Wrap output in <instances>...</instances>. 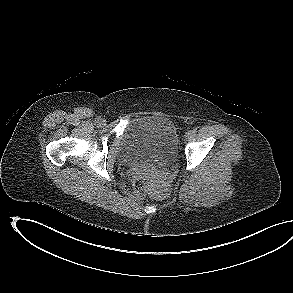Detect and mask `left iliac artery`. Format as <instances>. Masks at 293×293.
Instances as JSON below:
<instances>
[{
	"label": "left iliac artery",
	"instance_id": "obj_1",
	"mask_svg": "<svg viewBox=\"0 0 293 293\" xmlns=\"http://www.w3.org/2000/svg\"><path fill=\"white\" fill-rule=\"evenodd\" d=\"M192 134H195L197 132V129L196 128H193L191 131H190Z\"/></svg>",
	"mask_w": 293,
	"mask_h": 293
}]
</instances>
